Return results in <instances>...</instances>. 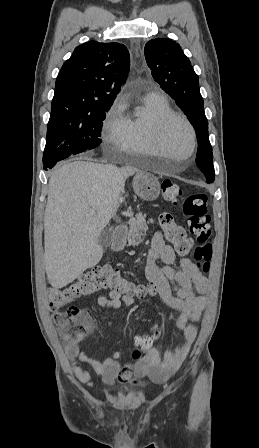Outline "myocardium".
Masks as SVG:
<instances>
[{
	"mask_svg": "<svg viewBox=\"0 0 259 448\" xmlns=\"http://www.w3.org/2000/svg\"><path fill=\"white\" fill-rule=\"evenodd\" d=\"M173 121H181L183 122L191 135V154H190V161L196 160V148H197V133L195 130L194 125L192 122L182 113L179 112H171L169 114H166L164 116H161L156 121L155 125V131H154V142L158 149H166L164 136L165 131L167 127L173 122ZM158 171H162L159 170Z\"/></svg>",
	"mask_w": 259,
	"mask_h": 448,
	"instance_id": "f54148a6",
	"label": "myocardium"
}]
</instances>
